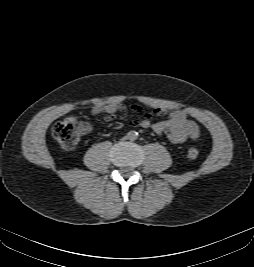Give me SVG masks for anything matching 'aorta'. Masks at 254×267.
<instances>
[{"instance_id": "obj_1", "label": "aorta", "mask_w": 254, "mask_h": 267, "mask_svg": "<svg viewBox=\"0 0 254 267\" xmlns=\"http://www.w3.org/2000/svg\"><path fill=\"white\" fill-rule=\"evenodd\" d=\"M137 138H138V133H137V132H135V131H130V132L128 133V139L134 141V140H136Z\"/></svg>"}]
</instances>
